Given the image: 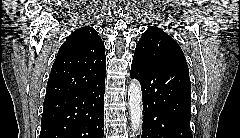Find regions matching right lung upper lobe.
I'll use <instances>...</instances> for the list:
<instances>
[{"label":"right lung upper lobe","mask_w":240,"mask_h":138,"mask_svg":"<svg viewBox=\"0 0 240 138\" xmlns=\"http://www.w3.org/2000/svg\"><path fill=\"white\" fill-rule=\"evenodd\" d=\"M104 49L94 28L85 26L73 32L58 51L44 101L86 90L104 78Z\"/></svg>","instance_id":"1"}]
</instances>
